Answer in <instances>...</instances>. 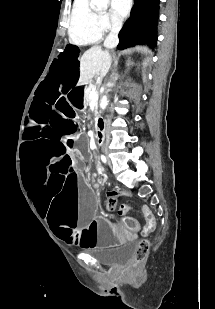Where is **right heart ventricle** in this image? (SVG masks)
Segmentation results:
<instances>
[{
    "label": "right heart ventricle",
    "mask_w": 215,
    "mask_h": 309,
    "mask_svg": "<svg viewBox=\"0 0 215 309\" xmlns=\"http://www.w3.org/2000/svg\"><path fill=\"white\" fill-rule=\"evenodd\" d=\"M103 36V28L98 27L94 14H88L87 9H76L71 15L68 31L71 44L83 46L88 42H100Z\"/></svg>",
    "instance_id": "obj_1"
}]
</instances>
